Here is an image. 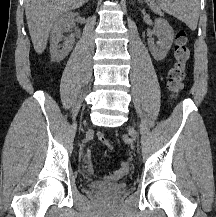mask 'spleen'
Listing matches in <instances>:
<instances>
[{
    "label": "spleen",
    "instance_id": "spleen-1",
    "mask_svg": "<svg viewBox=\"0 0 216 217\" xmlns=\"http://www.w3.org/2000/svg\"><path fill=\"white\" fill-rule=\"evenodd\" d=\"M158 1L163 11L184 22L191 30L196 29L200 11L199 0Z\"/></svg>",
    "mask_w": 216,
    "mask_h": 217
}]
</instances>
